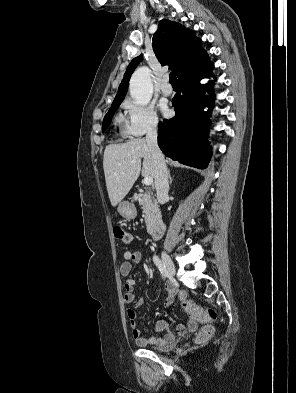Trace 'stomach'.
I'll use <instances>...</instances> for the list:
<instances>
[{
  "instance_id": "obj_1",
  "label": "stomach",
  "mask_w": 296,
  "mask_h": 393,
  "mask_svg": "<svg viewBox=\"0 0 296 393\" xmlns=\"http://www.w3.org/2000/svg\"><path fill=\"white\" fill-rule=\"evenodd\" d=\"M119 214L126 220H132L136 217L137 212L133 203L123 201L118 206Z\"/></svg>"
}]
</instances>
